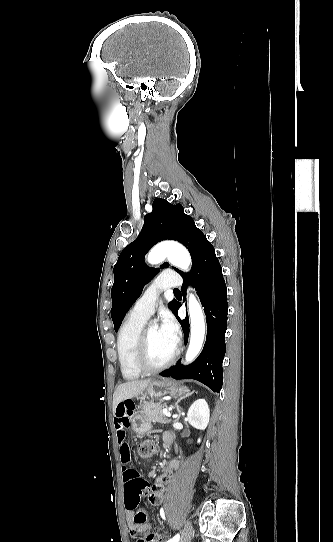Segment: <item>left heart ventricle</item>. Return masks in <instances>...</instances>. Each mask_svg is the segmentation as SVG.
<instances>
[{"instance_id": "left-heart-ventricle-1", "label": "left heart ventricle", "mask_w": 333, "mask_h": 542, "mask_svg": "<svg viewBox=\"0 0 333 542\" xmlns=\"http://www.w3.org/2000/svg\"><path fill=\"white\" fill-rule=\"evenodd\" d=\"M175 345L161 332L157 326L148 328V360L157 365L171 357Z\"/></svg>"}]
</instances>
